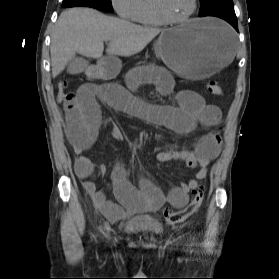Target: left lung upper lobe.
<instances>
[{
	"label": "left lung upper lobe",
	"mask_w": 279,
	"mask_h": 279,
	"mask_svg": "<svg viewBox=\"0 0 279 279\" xmlns=\"http://www.w3.org/2000/svg\"><path fill=\"white\" fill-rule=\"evenodd\" d=\"M201 10L199 11V16H208L211 13L234 9L232 0H200Z\"/></svg>",
	"instance_id": "obj_1"
}]
</instances>
